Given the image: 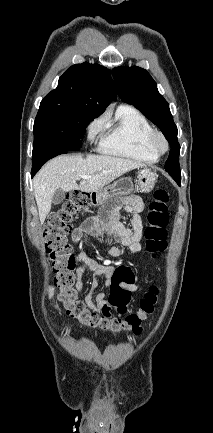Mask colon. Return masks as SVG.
<instances>
[{
	"label": "colon",
	"instance_id": "obj_1",
	"mask_svg": "<svg viewBox=\"0 0 213 433\" xmlns=\"http://www.w3.org/2000/svg\"><path fill=\"white\" fill-rule=\"evenodd\" d=\"M168 200L167 191L157 189L149 204L144 236L146 249L152 255L164 251L167 246ZM88 204L89 199L84 193L72 192L61 209L52 212L47 219L44 239L47 252L53 262L54 282L60 289L59 299L69 315L89 328L108 331L113 334L124 331L139 334L143 322L155 311L159 289L156 285L150 286L140 301L138 311L128 313V304L131 299L129 286L134 282V273L130 267L119 266L115 269L110 288V303L121 316L114 317L110 313L91 310L83 301L78 299L73 273L76 260L66 236L72 231L75 220Z\"/></svg>",
	"mask_w": 213,
	"mask_h": 433
}]
</instances>
